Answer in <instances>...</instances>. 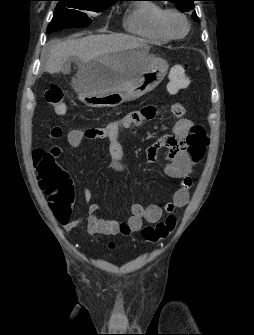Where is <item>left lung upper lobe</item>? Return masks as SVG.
<instances>
[{
  "label": "left lung upper lobe",
  "instance_id": "left-lung-upper-lobe-1",
  "mask_svg": "<svg viewBox=\"0 0 254 335\" xmlns=\"http://www.w3.org/2000/svg\"><path fill=\"white\" fill-rule=\"evenodd\" d=\"M166 1H170L173 2L175 4V6H177L182 12H188L191 11L194 8V1L195 0H166ZM192 18L199 22V19L196 15V12L193 11L192 13Z\"/></svg>",
  "mask_w": 254,
  "mask_h": 335
}]
</instances>
